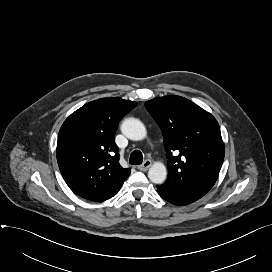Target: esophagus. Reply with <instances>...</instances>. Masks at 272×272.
I'll use <instances>...</instances> for the list:
<instances>
[{"instance_id":"1","label":"esophagus","mask_w":272,"mask_h":272,"mask_svg":"<svg viewBox=\"0 0 272 272\" xmlns=\"http://www.w3.org/2000/svg\"><path fill=\"white\" fill-rule=\"evenodd\" d=\"M152 165L151 160H145L142 165L138 166L141 171H147Z\"/></svg>"}]
</instances>
